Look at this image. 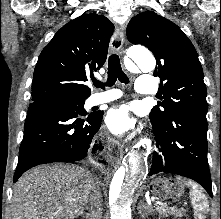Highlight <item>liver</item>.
Listing matches in <instances>:
<instances>
[{"mask_svg":"<svg viewBox=\"0 0 221 219\" xmlns=\"http://www.w3.org/2000/svg\"><path fill=\"white\" fill-rule=\"evenodd\" d=\"M96 188L93 175L82 167H35L14 185L9 219H75L84 214Z\"/></svg>","mask_w":221,"mask_h":219,"instance_id":"liver-1","label":"liver"}]
</instances>
